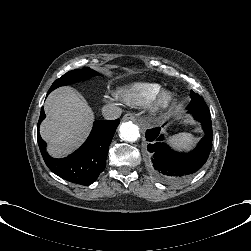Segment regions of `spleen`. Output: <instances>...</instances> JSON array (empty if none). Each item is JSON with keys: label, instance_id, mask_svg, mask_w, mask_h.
<instances>
[{"label": "spleen", "instance_id": "obj_1", "mask_svg": "<svg viewBox=\"0 0 251 251\" xmlns=\"http://www.w3.org/2000/svg\"><path fill=\"white\" fill-rule=\"evenodd\" d=\"M201 138L194 136L192 133L182 132L172 136H168L165 143L174 151L188 153L192 151Z\"/></svg>", "mask_w": 251, "mask_h": 251}]
</instances>
